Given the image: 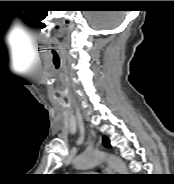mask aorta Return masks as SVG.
I'll list each match as a JSON object with an SVG mask.
<instances>
[{
  "instance_id": "obj_1",
  "label": "aorta",
  "mask_w": 174,
  "mask_h": 184,
  "mask_svg": "<svg viewBox=\"0 0 174 184\" xmlns=\"http://www.w3.org/2000/svg\"><path fill=\"white\" fill-rule=\"evenodd\" d=\"M103 159H107L111 167L118 174H126V164L117 156L108 155L98 150H92L79 155L75 161L74 166L77 169H87L99 164Z\"/></svg>"
}]
</instances>
